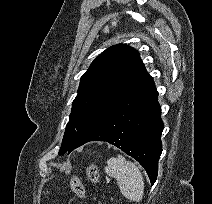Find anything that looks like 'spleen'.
Listing matches in <instances>:
<instances>
[{"instance_id":"spleen-1","label":"spleen","mask_w":212,"mask_h":204,"mask_svg":"<svg viewBox=\"0 0 212 204\" xmlns=\"http://www.w3.org/2000/svg\"><path fill=\"white\" fill-rule=\"evenodd\" d=\"M105 172L114 177L121 193L130 201L139 202L144 194V181L139 168L127 161L122 155L111 157L107 161Z\"/></svg>"}]
</instances>
